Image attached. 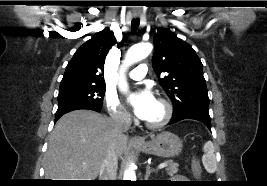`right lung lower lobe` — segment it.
I'll list each match as a JSON object with an SVG mask.
<instances>
[{"label":"right lung lower lobe","instance_id":"1","mask_svg":"<svg viewBox=\"0 0 267 186\" xmlns=\"http://www.w3.org/2000/svg\"><path fill=\"white\" fill-rule=\"evenodd\" d=\"M79 109H88V110H94V111H100L101 106L98 105H92V104H70V105H63L59 106L58 110L55 114V122L64 114L73 111V110H79ZM113 185V184H110Z\"/></svg>","mask_w":267,"mask_h":186}]
</instances>
